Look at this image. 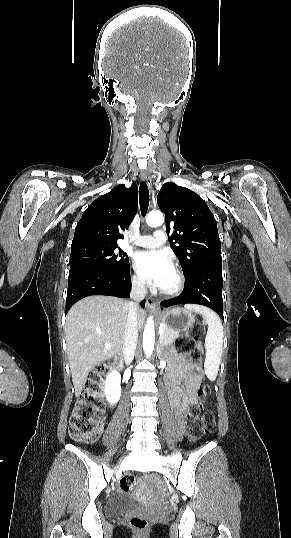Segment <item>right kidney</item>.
Wrapping results in <instances>:
<instances>
[{"label":"right kidney","instance_id":"right-kidney-1","mask_svg":"<svg viewBox=\"0 0 291 538\" xmlns=\"http://www.w3.org/2000/svg\"><path fill=\"white\" fill-rule=\"evenodd\" d=\"M121 376L118 371L113 370L107 376L104 382V395L110 405L116 404L121 396Z\"/></svg>","mask_w":291,"mask_h":538}]
</instances>
